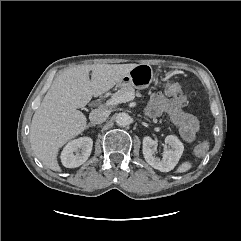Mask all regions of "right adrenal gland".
I'll return each instance as SVG.
<instances>
[{"mask_svg": "<svg viewBox=\"0 0 241 241\" xmlns=\"http://www.w3.org/2000/svg\"><path fill=\"white\" fill-rule=\"evenodd\" d=\"M89 127H95V124H92V123H89L86 128H89Z\"/></svg>", "mask_w": 241, "mask_h": 241, "instance_id": "obj_1", "label": "right adrenal gland"}]
</instances>
